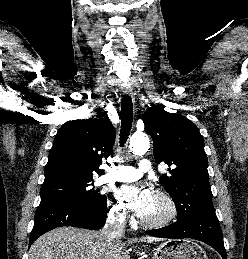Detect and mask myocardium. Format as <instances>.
I'll list each match as a JSON object with an SVG mask.
<instances>
[{
    "instance_id": "myocardium-1",
    "label": "myocardium",
    "mask_w": 248,
    "mask_h": 259,
    "mask_svg": "<svg viewBox=\"0 0 248 259\" xmlns=\"http://www.w3.org/2000/svg\"><path fill=\"white\" fill-rule=\"evenodd\" d=\"M154 195L162 198L165 201L167 205V212L162 218L153 221L142 218L141 223L148 228H161L169 225L176 219L178 215V207L174 198L168 192L162 189H156L154 191Z\"/></svg>"
}]
</instances>
